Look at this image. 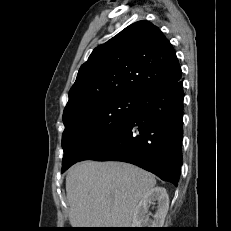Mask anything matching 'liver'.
<instances>
[{"instance_id":"obj_1","label":"liver","mask_w":231,"mask_h":231,"mask_svg":"<svg viewBox=\"0 0 231 231\" xmlns=\"http://www.w3.org/2000/svg\"><path fill=\"white\" fill-rule=\"evenodd\" d=\"M155 177L123 162L84 161L66 177L69 221L74 228H130L138 202Z\"/></svg>"}]
</instances>
